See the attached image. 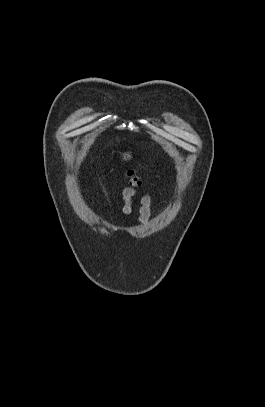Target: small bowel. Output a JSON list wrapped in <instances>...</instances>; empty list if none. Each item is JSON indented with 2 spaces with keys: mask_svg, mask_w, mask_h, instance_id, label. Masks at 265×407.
I'll return each mask as SVG.
<instances>
[{
  "mask_svg": "<svg viewBox=\"0 0 265 407\" xmlns=\"http://www.w3.org/2000/svg\"><path fill=\"white\" fill-rule=\"evenodd\" d=\"M138 195L134 187H127L122 193V213L129 215L132 212L133 199ZM152 199L150 195H144L140 199L138 221L141 225H145L151 216Z\"/></svg>",
  "mask_w": 265,
  "mask_h": 407,
  "instance_id": "obj_1",
  "label": "small bowel"
}]
</instances>
